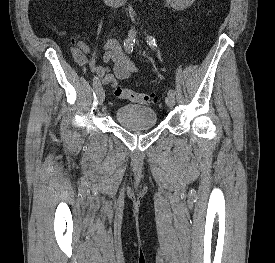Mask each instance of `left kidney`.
I'll return each mask as SVG.
<instances>
[{
  "label": "left kidney",
  "mask_w": 275,
  "mask_h": 263,
  "mask_svg": "<svg viewBox=\"0 0 275 263\" xmlns=\"http://www.w3.org/2000/svg\"><path fill=\"white\" fill-rule=\"evenodd\" d=\"M195 0H166V3L176 10L189 7Z\"/></svg>",
  "instance_id": "left-kidney-1"
}]
</instances>
